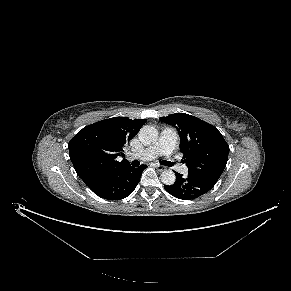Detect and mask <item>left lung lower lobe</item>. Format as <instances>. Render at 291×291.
<instances>
[{"instance_id": "1", "label": "left lung lower lobe", "mask_w": 291, "mask_h": 291, "mask_svg": "<svg viewBox=\"0 0 291 291\" xmlns=\"http://www.w3.org/2000/svg\"><path fill=\"white\" fill-rule=\"evenodd\" d=\"M218 174H190L183 178L176 173V181L173 185H165V190L172 196L183 199H196L211 190L219 179Z\"/></svg>"}]
</instances>
